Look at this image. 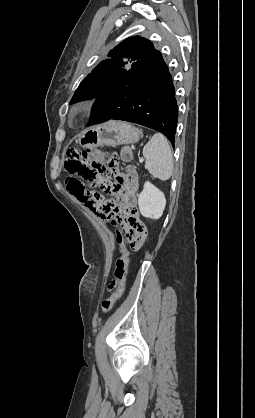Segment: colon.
Here are the masks:
<instances>
[{
    "mask_svg": "<svg viewBox=\"0 0 255 418\" xmlns=\"http://www.w3.org/2000/svg\"><path fill=\"white\" fill-rule=\"evenodd\" d=\"M124 161H130L132 153L129 149H123L121 152ZM65 171L69 174L66 180V186L69 192L77 199L82 201L85 206L90 209L94 217H98L99 221L107 220L116 228L117 238L116 244L120 246L121 256L116 262L114 275L117 280L114 282L116 288L112 295L102 302V311L109 312L117 300L122 296L127 265L131 256L128 250L126 237L118 234L121 228H145L140 220L137 208H131L124 219H121L118 213V205L115 199H103L97 192L86 187L84 182L96 184L98 188L105 194L112 193L111 179L116 175L115 163H110L105 154L100 151H85L79 148H71L67 151V159L64 164ZM133 251L139 249H131Z\"/></svg>",
    "mask_w": 255,
    "mask_h": 418,
    "instance_id": "5ec220e1",
    "label": "colon"
}]
</instances>
